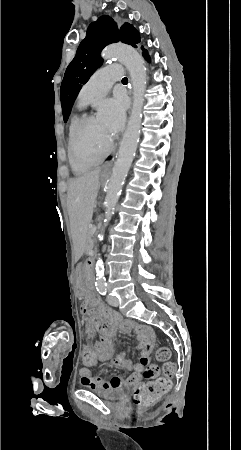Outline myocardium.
Returning a JSON list of instances; mask_svg holds the SVG:
<instances>
[{"mask_svg": "<svg viewBox=\"0 0 241 450\" xmlns=\"http://www.w3.org/2000/svg\"><path fill=\"white\" fill-rule=\"evenodd\" d=\"M89 118L88 115H83L80 118H78L71 130V134L72 136H70L69 141L72 144H68V149H71L72 154V162H78V158H80V156L78 155V151L75 148L76 142L79 140V137L81 135V129H79L78 127H81V125L83 124L84 121H87Z\"/></svg>", "mask_w": 241, "mask_h": 450, "instance_id": "f54148a6", "label": "myocardium"}]
</instances>
